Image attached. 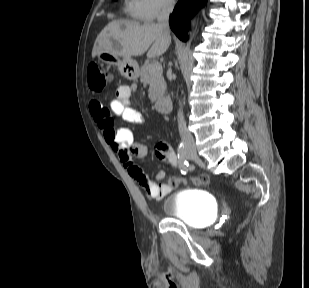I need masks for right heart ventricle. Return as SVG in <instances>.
<instances>
[{"label": "right heart ventricle", "mask_w": 309, "mask_h": 288, "mask_svg": "<svg viewBox=\"0 0 309 288\" xmlns=\"http://www.w3.org/2000/svg\"><path fill=\"white\" fill-rule=\"evenodd\" d=\"M126 11L128 14L134 18H145L143 16L142 7L139 4L138 0H127L126 2Z\"/></svg>", "instance_id": "obj_1"}]
</instances>
